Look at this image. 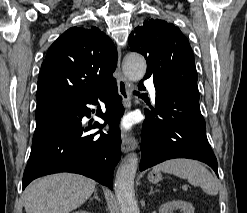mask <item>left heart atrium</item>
<instances>
[{
  "label": "left heart atrium",
  "mask_w": 247,
  "mask_h": 213,
  "mask_svg": "<svg viewBox=\"0 0 247 213\" xmlns=\"http://www.w3.org/2000/svg\"><path fill=\"white\" fill-rule=\"evenodd\" d=\"M122 126H123V128H128L129 127V122L128 121H124Z\"/></svg>",
  "instance_id": "39dd6f15"
}]
</instances>
